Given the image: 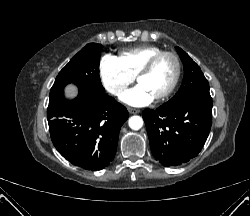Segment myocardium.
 Here are the masks:
<instances>
[{
	"label": "myocardium",
	"mask_w": 250,
	"mask_h": 216,
	"mask_svg": "<svg viewBox=\"0 0 250 216\" xmlns=\"http://www.w3.org/2000/svg\"><path fill=\"white\" fill-rule=\"evenodd\" d=\"M164 56H169L174 60V62H175V74H174L173 80H172L171 84L169 85V87L163 93L154 97L155 101H161V100L166 99L175 90V88L179 82V79L181 76V71H182V66H181V61H180L179 56L175 52H172V51H161V52L155 54L154 56H152L136 76V79L139 82V80L143 76H145L151 72V70L153 69L155 64L158 62V60Z\"/></svg>",
	"instance_id": "f54148a6"
}]
</instances>
